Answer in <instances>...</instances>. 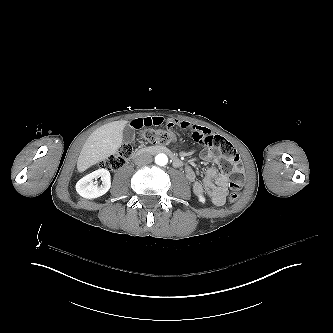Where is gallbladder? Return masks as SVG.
Instances as JSON below:
<instances>
[{
	"label": "gallbladder",
	"mask_w": 333,
	"mask_h": 333,
	"mask_svg": "<svg viewBox=\"0 0 333 333\" xmlns=\"http://www.w3.org/2000/svg\"><path fill=\"white\" fill-rule=\"evenodd\" d=\"M122 134H123V141L125 143H131L135 139V130L129 125H126L124 127Z\"/></svg>",
	"instance_id": "gallbladder-1"
}]
</instances>
